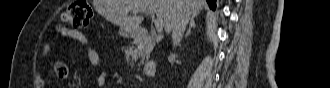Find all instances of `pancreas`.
I'll return each instance as SVG.
<instances>
[{"label":"pancreas","instance_id":"1","mask_svg":"<svg viewBox=\"0 0 330 88\" xmlns=\"http://www.w3.org/2000/svg\"><path fill=\"white\" fill-rule=\"evenodd\" d=\"M154 45V38H150L149 40L144 41L138 48L132 51V57L134 59L145 58L152 51Z\"/></svg>","mask_w":330,"mask_h":88}]
</instances>
